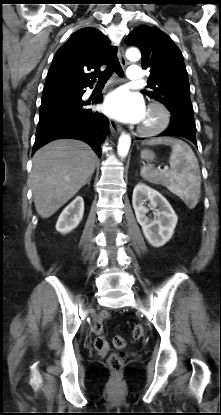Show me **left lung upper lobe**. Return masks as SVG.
Segmentation results:
<instances>
[{
    "instance_id": "5c2ea615",
    "label": "left lung upper lobe",
    "mask_w": 221,
    "mask_h": 415,
    "mask_svg": "<svg viewBox=\"0 0 221 415\" xmlns=\"http://www.w3.org/2000/svg\"><path fill=\"white\" fill-rule=\"evenodd\" d=\"M141 50L142 67L150 69L147 89L141 92L163 103L168 109H193L184 58L172 39L151 26L136 27L125 39Z\"/></svg>"
}]
</instances>
